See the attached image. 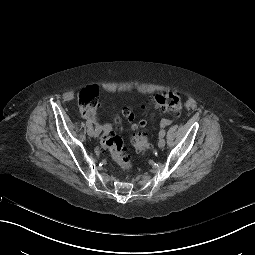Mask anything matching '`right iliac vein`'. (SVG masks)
<instances>
[{
    "instance_id": "1",
    "label": "right iliac vein",
    "mask_w": 255,
    "mask_h": 255,
    "mask_svg": "<svg viewBox=\"0 0 255 255\" xmlns=\"http://www.w3.org/2000/svg\"><path fill=\"white\" fill-rule=\"evenodd\" d=\"M87 133H88V135L91 136V137L94 136L95 131H94L93 127H88Z\"/></svg>"
}]
</instances>
